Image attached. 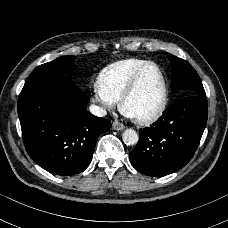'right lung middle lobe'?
I'll list each match as a JSON object with an SVG mask.
<instances>
[{
    "instance_id": "dd1d6c3e",
    "label": "right lung middle lobe",
    "mask_w": 228,
    "mask_h": 228,
    "mask_svg": "<svg viewBox=\"0 0 228 228\" xmlns=\"http://www.w3.org/2000/svg\"><path fill=\"white\" fill-rule=\"evenodd\" d=\"M75 58L73 56H63L59 57L51 62L42 64L35 68L28 79H34L46 75H55V74H69L72 73L75 69L74 66Z\"/></svg>"
}]
</instances>
